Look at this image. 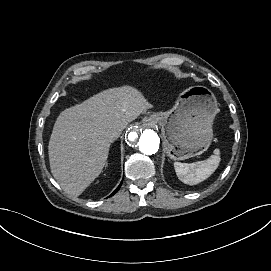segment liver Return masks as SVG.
<instances>
[{
    "mask_svg": "<svg viewBox=\"0 0 271 271\" xmlns=\"http://www.w3.org/2000/svg\"><path fill=\"white\" fill-rule=\"evenodd\" d=\"M149 108L141 92L123 86L62 111L48 145L51 172L62 189L79 196L101 173L111 136Z\"/></svg>",
    "mask_w": 271,
    "mask_h": 271,
    "instance_id": "1",
    "label": "liver"
}]
</instances>
